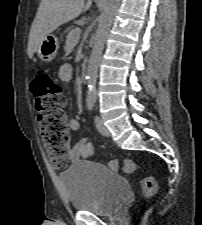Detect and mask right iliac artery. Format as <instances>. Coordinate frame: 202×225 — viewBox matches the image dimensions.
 <instances>
[{
    "instance_id": "right-iliac-artery-1",
    "label": "right iliac artery",
    "mask_w": 202,
    "mask_h": 225,
    "mask_svg": "<svg viewBox=\"0 0 202 225\" xmlns=\"http://www.w3.org/2000/svg\"><path fill=\"white\" fill-rule=\"evenodd\" d=\"M93 106H94V103H93V102H88V103H87V108H88L89 110H92V109H93Z\"/></svg>"
}]
</instances>
